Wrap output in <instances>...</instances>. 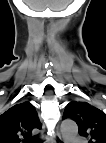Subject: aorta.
I'll list each match as a JSON object with an SVG mask.
<instances>
[{
  "label": "aorta",
  "instance_id": "762f6f07",
  "mask_svg": "<svg viewBox=\"0 0 106 143\" xmlns=\"http://www.w3.org/2000/svg\"><path fill=\"white\" fill-rule=\"evenodd\" d=\"M61 134L65 142L73 141L78 134L77 124L72 120H64L61 123Z\"/></svg>",
  "mask_w": 106,
  "mask_h": 143
}]
</instances>
